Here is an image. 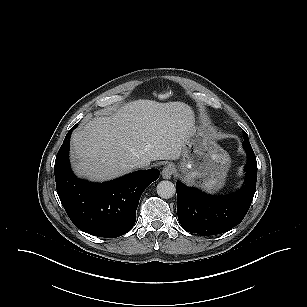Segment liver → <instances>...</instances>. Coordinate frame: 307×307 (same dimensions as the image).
I'll return each instance as SVG.
<instances>
[{"mask_svg":"<svg viewBox=\"0 0 307 307\" xmlns=\"http://www.w3.org/2000/svg\"><path fill=\"white\" fill-rule=\"evenodd\" d=\"M193 123V111L183 102H129L72 134L74 171L102 182L131 172L138 160H177Z\"/></svg>","mask_w":307,"mask_h":307,"instance_id":"1","label":"liver"}]
</instances>
